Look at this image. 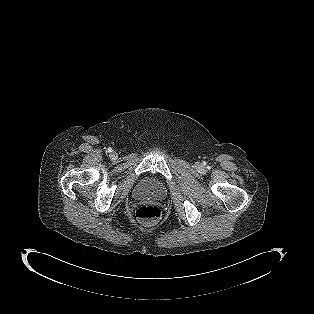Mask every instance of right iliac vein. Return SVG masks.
<instances>
[{"mask_svg":"<svg viewBox=\"0 0 314 314\" xmlns=\"http://www.w3.org/2000/svg\"><path fill=\"white\" fill-rule=\"evenodd\" d=\"M110 156H111L112 159H115V158H117V153L116 152H112Z\"/></svg>","mask_w":314,"mask_h":314,"instance_id":"1","label":"right iliac vein"}]
</instances>
